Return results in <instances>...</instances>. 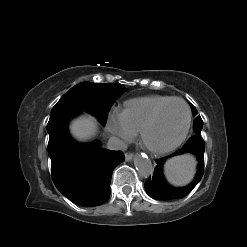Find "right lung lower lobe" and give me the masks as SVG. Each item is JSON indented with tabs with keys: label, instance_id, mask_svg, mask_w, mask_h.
Segmentation results:
<instances>
[{
	"label": "right lung lower lobe",
	"instance_id": "98d812e1",
	"mask_svg": "<svg viewBox=\"0 0 247 247\" xmlns=\"http://www.w3.org/2000/svg\"><path fill=\"white\" fill-rule=\"evenodd\" d=\"M77 114L50 116L47 131L52 178L57 189L74 204L99 206L109 199L112 172L125 156L120 151L101 148L97 142L84 145L73 141L67 123Z\"/></svg>",
	"mask_w": 247,
	"mask_h": 247
}]
</instances>
